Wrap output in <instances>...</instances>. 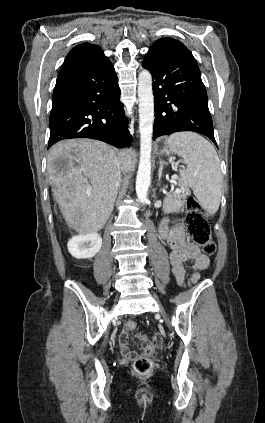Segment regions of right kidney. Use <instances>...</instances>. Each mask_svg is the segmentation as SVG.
Here are the masks:
<instances>
[{
	"label": "right kidney",
	"mask_w": 265,
	"mask_h": 423,
	"mask_svg": "<svg viewBox=\"0 0 265 423\" xmlns=\"http://www.w3.org/2000/svg\"><path fill=\"white\" fill-rule=\"evenodd\" d=\"M101 246L102 238L97 232L74 236L67 244L70 254L76 259L93 258Z\"/></svg>",
	"instance_id": "1"
}]
</instances>
